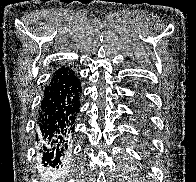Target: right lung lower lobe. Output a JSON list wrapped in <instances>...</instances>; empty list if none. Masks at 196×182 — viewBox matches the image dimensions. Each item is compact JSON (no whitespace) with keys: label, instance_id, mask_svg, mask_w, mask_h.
Wrapping results in <instances>:
<instances>
[{"label":"right lung lower lobe","instance_id":"obj_1","mask_svg":"<svg viewBox=\"0 0 196 182\" xmlns=\"http://www.w3.org/2000/svg\"><path fill=\"white\" fill-rule=\"evenodd\" d=\"M80 82L69 67L54 73L45 88L38 117L36 140L41 145L45 166L57 167L68 147L74 122L79 112Z\"/></svg>","mask_w":196,"mask_h":182}]
</instances>
